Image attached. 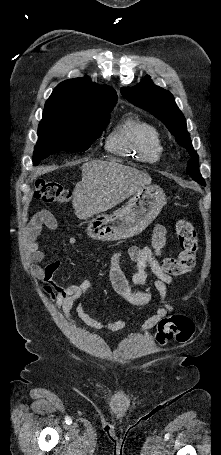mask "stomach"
<instances>
[{
  "label": "stomach",
  "instance_id": "0dacf381",
  "mask_svg": "<svg viewBox=\"0 0 221 455\" xmlns=\"http://www.w3.org/2000/svg\"><path fill=\"white\" fill-rule=\"evenodd\" d=\"M165 203L163 189L157 185H147L114 214L102 213L89 220L87 233L92 239L103 242L131 238L148 227Z\"/></svg>",
  "mask_w": 221,
  "mask_h": 455
}]
</instances>
